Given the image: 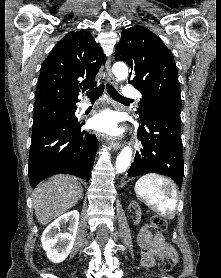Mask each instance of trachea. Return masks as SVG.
<instances>
[{
    "mask_svg": "<svg viewBox=\"0 0 221 278\" xmlns=\"http://www.w3.org/2000/svg\"><path fill=\"white\" fill-rule=\"evenodd\" d=\"M104 90V85L101 84L100 86L87 91V96L90 98V100H97L103 93ZM107 91L109 93V95L116 101L119 102H123V101H131L128 98L123 97L122 95H120L115 89L114 87H112L111 85H107Z\"/></svg>",
    "mask_w": 221,
    "mask_h": 278,
    "instance_id": "3493384b",
    "label": "trachea"
}]
</instances>
